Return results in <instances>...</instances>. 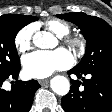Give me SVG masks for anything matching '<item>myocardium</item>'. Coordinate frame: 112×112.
I'll return each instance as SVG.
<instances>
[{"label": "myocardium", "instance_id": "f54148a6", "mask_svg": "<svg viewBox=\"0 0 112 112\" xmlns=\"http://www.w3.org/2000/svg\"><path fill=\"white\" fill-rule=\"evenodd\" d=\"M65 44L74 51H80L85 46V39L82 35H67L63 38Z\"/></svg>", "mask_w": 112, "mask_h": 112}]
</instances>
